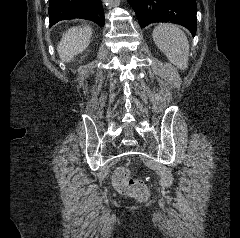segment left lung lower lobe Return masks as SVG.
<instances>
[{"mask_svg":"<svg viewBox=\"0 0 240 238\" xmlns=\"http://www.w3.org/2000/svg\"><path fill=\"white\" fill-rule=\"evenodd\" d=\"M142 28L153 22H173L196 33V0H128Z\"/></svg>","mask_w":240,"mask_h":238,"instance_id":"0a47b994","label":"left lung lower lobe"}]
</instances>
